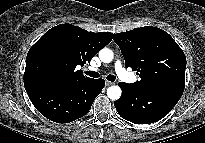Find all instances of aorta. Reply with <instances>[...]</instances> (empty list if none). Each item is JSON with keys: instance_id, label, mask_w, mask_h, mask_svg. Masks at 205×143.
Instances as JSON below:
<instances>
[{"instance_id": "762f6f07", "label": "aorta", "mask_w": 205, "mask_h": 143, "mask_svg": "<svg viewBox=\"0 0 205 143\" xmlns=\"http://www.w3.org/2000/svg\"><path fill=\"white\" fill-rule=\"evenodd\" d=\"M114 54L111 49L103 48L99 52V58L104 63H109L113 60ZM121 88L117 85L108 87L107 96L111 100H118L121 97Z\"/></svg>"}]
</instances>
